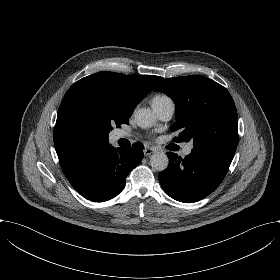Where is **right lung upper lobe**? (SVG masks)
Here are the masks:
<instances>
[{
	"instance_id": "cb5924a9",
	"label": "right lung upper lobe",
	"mask_w": 280,
	"mask_h": 280,
	"mask_svg": "<svg viewBox=\"0 0 280 280\" xmlns=\"http://www.w3.org/2000/svg\"><path fill=\"white\" fill-rule=\"evenodd\" d=\"M159 76L98 72L75 82L58 109L54 145L61 168L84 153L108 145L115 120H129Z\"/></svg>"
}]
</instances>
